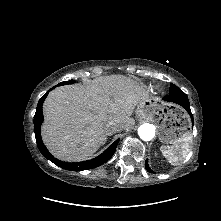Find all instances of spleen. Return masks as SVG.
I'll use <instances>...</instances> for the list:
<instances>
[{
  "label": "spleen",
  "mask_w": 221,
  "mask_h": 221,
  "mask_svg": "<svg viewBox=\"0 0 221 221\" xmlns=\"http://www.w3.org/2000/svg\"><path fill=\"white\" fill-rule=\"evenodd\" d=\"M192 141V134L186 132L181 138L171 146H162L161 151L165 158L171 165H178L180 161L184 160L190 152V143Z\"/></svg>",
  "instance_id": "obj_1"
}]
</instances>
